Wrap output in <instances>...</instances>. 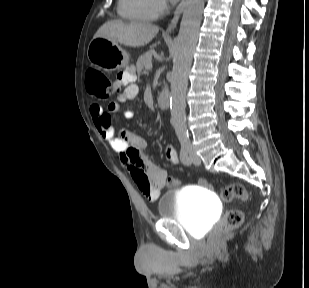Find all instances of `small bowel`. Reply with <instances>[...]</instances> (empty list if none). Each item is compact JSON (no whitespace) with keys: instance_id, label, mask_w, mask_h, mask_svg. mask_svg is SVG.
<instances>
[{"instance_id":"1","label":"small bowel","mask_w":309,"mask_h":288,"mask_svg":"<svg viewBox=\"0 0 309 288\" xmlns=\"http://www.w3.org/2000/svg\"><path fill=\"white\" fill-rule=\"evenodd\" d=\"M115 83L124 87L118 101L110 102L107 111L99 105H92L90 112L93 122L100 136L109 143L114 151L120 154L121 163L126 167L139 190L149 200L155 201L165 187L166 171L143 154V150L147 146L143 137L128 130L115 131L112 127V115L114 114H121L126 119L135 117L133 111L123 110L121 103L135 98L138 87L131 82V77L127 74L119 76ZM164 155L171 164L179 162L177 152L172 146L165 147Z\"/></svg>"}]
</instances>
